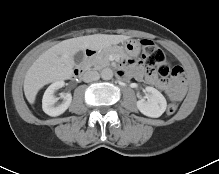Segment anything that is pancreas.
Returning a JSON list of instances; mask_svg holds the SVG:
<instances>
[{
  "instance_id": "obj_1",
  "label": "pancreas",
  "mask_w": 219,
  "mask_h": 174,
  "mask_svg": "<svg viewBox=\"0 0 219 174\" xmlns=\"http://www.w3.org/2000/svg\"><path fill=\"white\" fill-rule=\"evenodd\" d=\"M116 52H117L116 50L102 51L99 54L89 58L86 61V66L94 67V69H97V70L102 69L103 67L109 66L110 61L108 57L110 54L119 55ZM119 52L122 53L121 51Z\"/></svg>"
}]
</instances>
